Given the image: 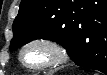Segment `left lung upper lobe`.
Segmentation results:
<instances>
[{"label": "left lung upper lobe", "instance_id": "left-lung-upper-lobe-1", "mask_svg": "<svg viewBox=\"0 0 107 75\" xmlns=\"http://www.w3.org/2000/svg\"><path fill=\"white\" fill-rule=\"evenodd\" d=\"M96 9V3L88 0H22L13 22L10 50L41 38L63 45L69 56H82L89 49L79 40L81 23Z\"/></svg>", "mask_w": 107, "mask_h": 75}]
</instances>
